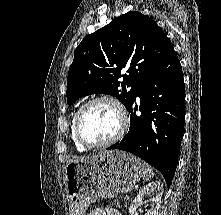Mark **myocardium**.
<instances>
[{
  "instance_id": "f54148a6",
  "label": "myocardium",
  "mask_w": 221,
  "mask_h": 215,
  "mask_svg": "<svg viewBox=\"0 0 221 215\" xmlns=\"http://www.w3.org/2000/svg\"><path fill=\"white\" fill-rule=\"evenodd\" d=\"M101 101H106L109 102L111 104H113L115 106V108L117 109L119 116H120V127L118 129V131L116 132V134L111 137L110 139L103 141V142H90L88 140H86L82 133H81V120H82V116L85 112V110L91 106L94 103L97 102H101ZM129 127V118L127 115V112L124 108V106L119 102V100H117L115 97L110 96V95H100L97 97H94L88 101H86L76 112L75 114V118H74V135L75 138L77 140V142L79 144H81L82 146L86 147V148H103V147H107L109 145H112L114 143H116L117 141H119L126 133V131L128 130Z\"/></svg>"
}]
</instances>
